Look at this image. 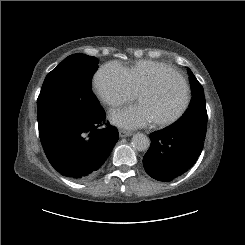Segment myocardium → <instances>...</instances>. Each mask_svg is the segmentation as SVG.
Wrapping results in <instances>:
<instances>
[{
	"label": "myocardium",
	"instance_id": "1",
	"mask_svg": "<svg viewBox=\"0 0 245 245\" xmlns=\"http://www.w3.org/2000/svg\"><path fill=\"white\" fill-rule=\"evenodd\" d=\"M166 75H174L180 81V83L182 84V86L184 88L185 100H184L183 106L181 107V109L176 114H174L173 116H171L167 119H163V120H159V121L154 122V124L159 128H166V127L171 126L174 123H176L186 113V111L188 110L190 103H191V92H190V87H189L188 82L181 75V73L179 71H177L176 69H173V68H169L166 71L159 73L155 82L144 87L138 93V97L142 94L159 92L160 91V85L158 84V79L163 78Z\"/></svg>",
	"mask_w": 245,
	"mask_h": 245
}]
</instances>
